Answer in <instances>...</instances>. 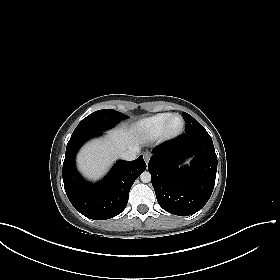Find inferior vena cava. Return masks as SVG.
<instances>
[{"mask_svg":"<svg viewBox=\"0 0 280 280\" xmlns=\"http://www.w3.org/2000/svg\"><path fill=\"white\" fill-rule=\"evenodd\" d=\"M139 154V147H131L130 149L121 153L120 157L124 160H134Z\"/></svg>","mask_w":280,"mask_h":280,"instance_id":"1","label":"inferior vena cava"}]
</instances>
